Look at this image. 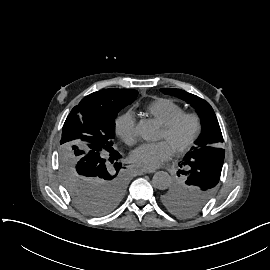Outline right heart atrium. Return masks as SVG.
Listing matches in <instances>:
<instances>
[{
  "label": "right heart atrium",
  "instance_id": "obj_1",
  "mask_svg": "<svg viewBox=\"0 0 270 270\" xmlns=\"http://www.w3.org/2000/svg\"><path fill=\"white\" fill-rule=\"evenodd\" d=\"M116 134L129 146L138 141L136 118L132 112H127L118 117L115 122Z\"/></svg>",
  "mask_w": 270,
  "mask_h": 270
}]
</instances>
